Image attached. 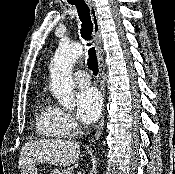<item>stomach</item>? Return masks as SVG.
<instances>
[{
  "mask_svg": "<svg viewBox=\"0 0 175 174\" xmlns=\"http://www.w3.org/2000/svg\"><path fill=\"white\" fill-rule=\"evenodd\" d=\"M54 174H60V171L55 169V171L53 172ZM21 174H37V167L35 164H30L27 165L24 169H22V173Z\"/></svg>",
  "mask_w": 175,
  "mask_h": 174,
  "instance_id": "1",
  "label": "stomach"
}]
</instances>
